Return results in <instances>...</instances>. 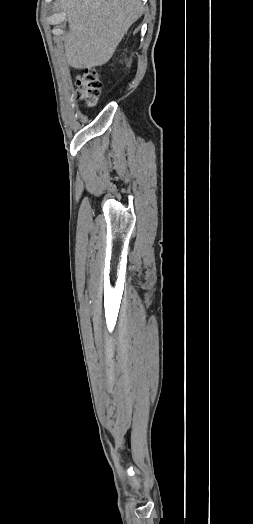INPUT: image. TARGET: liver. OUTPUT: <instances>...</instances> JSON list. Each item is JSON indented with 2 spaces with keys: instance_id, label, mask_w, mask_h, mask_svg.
Here are the masks:
<instances>
[{
  "instance_id": "6515ba94",
  "label": "liver",
  "mask_w": 253,
  "mask_h": 524,
  "mask_svg": "<svg viewBox=\"0 0 253 524\" xmlns=\"http://www.w3.org/2000/svg\"><path fill=\"white\" fill-rule=\"evenodd\" d=\"M69 31L64 38L67 63L76 69L102 66L131 25L143 14L140 0H60Z\"/></svg>"
}]
</instances>
